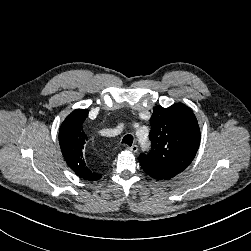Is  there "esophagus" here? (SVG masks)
I'll return each mask as SVG.
<instances>
[{
    "label": "esophagus",
    "instance_id": "esophagus-1",
    "mask_svg": "<svg viewBox=\"0 0 251 251\" xmlns=\"http://www.w3.org/2000/svg\"><path fill=\"white\" fill-rule=\"evenodd\" d=\"M132 152H137L138 151V146L136 144L132 145L131 147L128 148Z\"/></svg>",
    "mask_w": 251,
    "mask_h": 251
}]
</instances>
